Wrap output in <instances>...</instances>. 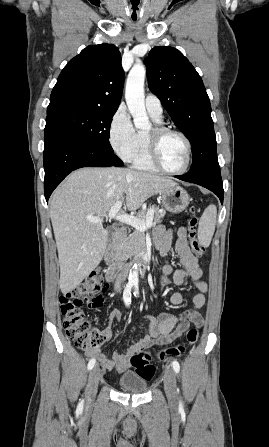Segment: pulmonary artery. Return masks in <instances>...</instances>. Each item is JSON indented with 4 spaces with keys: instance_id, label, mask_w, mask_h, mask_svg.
<instances>
[{
    "instance_id": "1",
    "label": "pulmonary artery",
    "mask_w": 269,
    "mask_h": 447,
    "mask_svg": "<svg viewBox=\"0 0 269 447\" xmlns=\"http://www.w3.org/2000/svg\"><path fill=\"white\" fill-rule=\"evenodd\" d=\"M145 108L154 119H162L163 108L160 99L156 95L152 93L147 94L145 98Z\"/></svg>"
}]
</instances>
